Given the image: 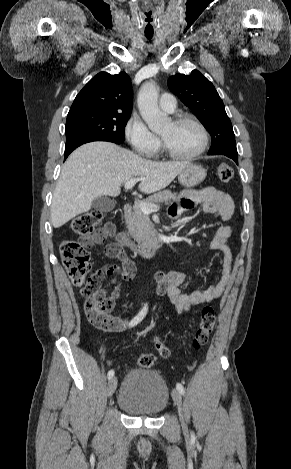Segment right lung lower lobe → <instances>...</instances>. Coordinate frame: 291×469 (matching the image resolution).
Here are the masks:
<instances>
[{
  "instance_id": "1",
  "label": "right lung lower lobe",
  "mask_w": 291,
  "mask_h": 469,
  "mask_svg": "<svg viewBox=\"0 0 291 469\" xmlns=\"http://www.w3.org/2000/svg\"><path fill=\"white\" fill-rule=\"evenodd\" d=\"M92 141H109V142H113V143H116V144H121L122 143L121 141H117V140L110 139V138H103V137H87V138L69 139V140L66 141V144H65L64 160L78 146H80L82 144H85V143H88V142H92Z\"/></svg>"
}]
</instances>
